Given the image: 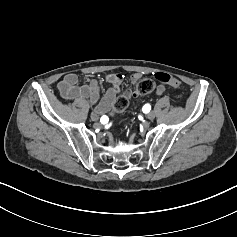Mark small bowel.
Wrapping results in <instances>:
<instances>
[{"label": "small bowel", "instance_id": "c3829d8e", "mask_svg": "<svg viewBox=\"0 0 237 237\" xmlns=\"http://www.w3.org/2000/svg\"><path fill=\"white\" fill-rule=\"evenodd\" d=\"M140 78V74H134L131 79L133 82ZM106 82L111 84V87L106 91L104 96L100 98V85L94 78L89 79L83 84H78V77L76 74L70 73L63 77L58 83L57 88L65 100L87 101L94 107L93 114L102 116L107 114L117 96L120 93V87L123 81V76L119 73H110L105 77ZM165 91L163 84L156 88V93L162 95ZM126 91V95H129Z\"/></svg>", "mask_w": 237, "mask_h": 237}]
</instances>
